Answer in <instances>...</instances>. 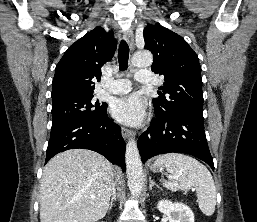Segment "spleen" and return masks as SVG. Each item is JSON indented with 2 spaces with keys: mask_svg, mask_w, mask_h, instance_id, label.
I'll list each match as a JSON object with an SVG mask.
<instances>
[{
  "mask_svg": "<svg viewBox=\"0 0 257 222\" xmlns=\"http://www.w3.org/2000/svg\"><path fill=\"white\" fill-rule=\"evenodd\" d=\"M157 166L164 165L169 181L164 186L171 191L196 189L198 205L206 216L213 215L216 206V188L208 169L196 159L180 153L158 157Z\"/></svg>",
  "mask_w": 257,
  "mask_h": 222,
  "instance_id": "obj_1",
  "label": "spleen"
}]
</instances>
